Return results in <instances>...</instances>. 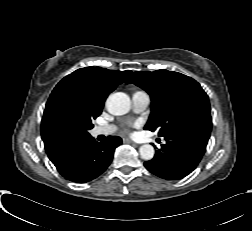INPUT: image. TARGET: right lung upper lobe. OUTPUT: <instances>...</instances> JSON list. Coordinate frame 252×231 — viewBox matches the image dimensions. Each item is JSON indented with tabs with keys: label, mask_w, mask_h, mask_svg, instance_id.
Instances as JSON below:
<instances>
[{
	"label": "right lung upper lobe",
	"mask_w": 252,
	"mask_h": 231,
	"mask_svg": "<svg viewBox=\"0 0 252 231\" xmlns=\"http://www.w3.org/2000/svg\"><path fill=\"white\" fill-rule=\"evenodd\" d=\"M131 71H114L101 67H85L64 77L54 88L57 92L68 93L88 107L102 110L104 102L119 84L124 82ZM50 160L54 159L63 145H53L43 139Z\"/></svg>",
	"instance_id": "cb5924a9"
}]
</instances>
